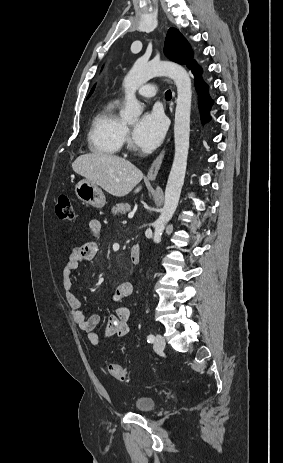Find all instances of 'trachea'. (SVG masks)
I'll return each mask as SVG.
<instances>
[{
    "label": "trachea",
    "instance_id": "3493384b",
    "mask_svg": "<svg viewBox=\"0 0 283 463\" xmlns=\"http://www.w3.org/2000/svg\"><path fill=\"white\" fill-rule=\"evenodd\" d=\"M165 98H166L167 100H170V99L172 98V93H171L170 90H167V91H166V93H165Z\"/></svg>",
    "mask_w": 283,
    "mask_h": 463
}]
</instances>
